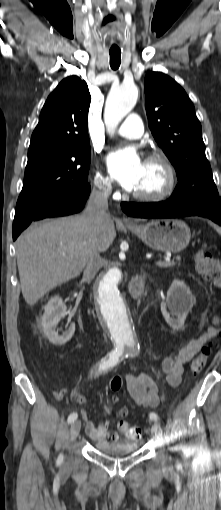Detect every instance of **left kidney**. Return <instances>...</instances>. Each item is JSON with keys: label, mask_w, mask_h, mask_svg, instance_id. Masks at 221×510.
Instances as JSON below:
<instances>
[{"label": "left kidney", "mask_w": 221, "mask_h": 510, "mask_svg": "<svg viewBox=\"0 0 221 510\" xmlns=\"http://www.w3.org/2000/svg\"><path fill=\"white\" fill-rule=\"evenodd\" d=\"M194 300L195 297L183 281L175 279L172 282L167 297L161 304L162 315L172 329L180 330L183 328L185 319L193 307Z\"/></svg>", "instance_id": "obj_1"}]
</instances>
